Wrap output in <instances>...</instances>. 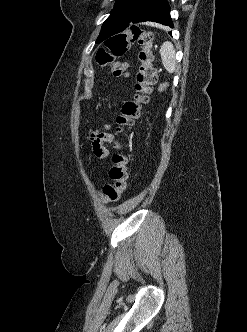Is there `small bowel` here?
Returning a JSON list of instances; mask_svg holds the SVG:
<instances>
[{
  "mask_svg": "<svg viewBox=\"0 0 247 332\" xmlns=\"http://www.w3.org/2000/svg\"><path fill=\"white\" fill-rule=\"evenodd\" d=\"M91 148L95 156L99 158H106L109 155L105 143L114 142L115 136L110 132V125L106 124L101 130L95 131L91 134Z\"/></svg>",
  "mask_w": 247,
  "mask_h": 332,
  "instance_id": "c3829d8e",
  "label": "small bowel"
}]
</instances>
